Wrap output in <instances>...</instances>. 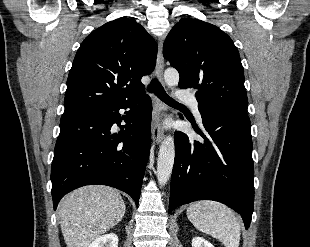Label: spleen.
Masks as SVG:
<instances>
[{
	"label": "spleen",
	"mask_w": 310,
	"mask_h": 247,
	"mask_svg": "<svg viewBox=\"0 0 310 247\" xmlns=\"http://www.w3.org/2000/svg\"><path fill=\"white\" fill-rule=\"evenodd\" d=\"M187 217L201 232L221 241L225 247H239L240 223L235 213L216 201H198L189 205Z\"/></svg>",
	"instance_id": "3e777b00"
}]
</instances>
